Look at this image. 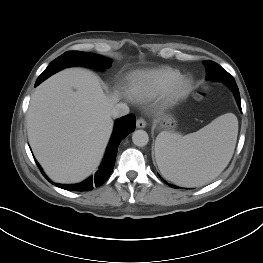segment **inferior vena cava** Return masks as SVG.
<instances>
[{
    "label": "inferior vena cava",
    "instance_id": "1",
    "mask_svg": "<svg viewBox=\"0 0 263 263\" xmlns=\"http://www.w3.org/2000/svg\"><path fill=\"white\" fill-rule=\"evenodd\" d=\"M129 113V107L125 103L116 104L111 110V115L114 118L125 116Z\"/></svg>",
    "mask_w": 263,
    "mask_h": 263
}]
</instances>
